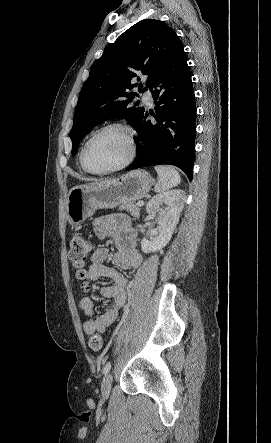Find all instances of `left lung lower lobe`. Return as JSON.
I'll return each mask as SVG.
<instances>
[{"label":"left lung lower lobe","instance_id":"left-lung-lower-lobe-1","mask_svg":"<svg viewBox=\"0 0 271 443\" xmlns=\"http://www.w3.org/2000/svg\"><path fill=\"white\" fill-rule=\"evenodd\" d=\"M156 103L136 127L137 157L126 171L169 164L179 167L192 180L195 159L196 104L183 45H178L153 75L149 87Z\"/></svg>","mask_w":271,"mask_h":443}]
</instances>
